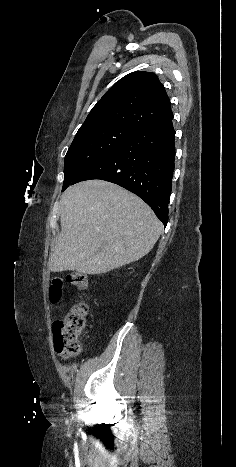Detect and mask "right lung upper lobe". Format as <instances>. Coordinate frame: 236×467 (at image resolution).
<instances>
[{"mask_svg":"<svg viewBox=\"0 0 236 467\" xmlns=\"http://www.w3.org/2000/svg\"><path fill=\"white\" fill-rule=\"evenodd\" d=\"M172 114L168 95L158 77L137 71L124 76L104 94L78 132L103 125L140 131Z\"/></svg>","mask_w":236,"mask_h":467,"instance_id":"right-lung-upper-lobe-1","label":"right lung upper lobe"}]
</instances>
